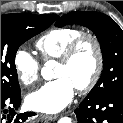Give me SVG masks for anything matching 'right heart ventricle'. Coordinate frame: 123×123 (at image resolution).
<instances>
[{
    "label": "right heart ventricle",
    "mask_w": 123,
    "mask_h": 123,
    "mask_svg": "<svg viewBox=\"0 0 123 123\" xmlns=\"http://www.w3.org/2000/svg\"><path fill=\"white\" fill-rule=\"evenodd\" d=\"M83 32L77 28H55L36 41V48L43 60H58L66 47Z\"/></svg>",
    "instance_id": "obj_1"
}]
</instances>
